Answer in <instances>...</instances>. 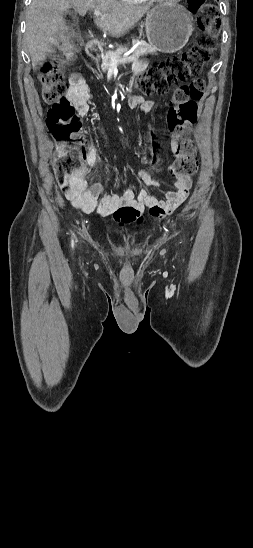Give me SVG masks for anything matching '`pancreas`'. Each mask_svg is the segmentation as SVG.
<instances>
[{"label":"pancreas","instance_id":"cf45deb5","mask_svg":"<svg viewBox=\"0 0 253 548\" xmlns=\"http://www.w3.org/2000/svg\"><path fill=\"white\" fill-rule=\"evenodd\" d=\"M127 50H128V48L126 46H119L115 51H109V52H106V53L102 54L101 55V58H102L101 69H102V71H106L112 66V62H111V57L112 56L116 57L117 59H121V58H123L122 55ZM148 54H151V55L156 54V48L151 46V45L142 44V45H138L136 47V49L134 50L132 56H134L136 58L135 61H138L140 56H144V55H148Z\"/></svg>","mask_w":253,"mask_h":548}]
</instances>
